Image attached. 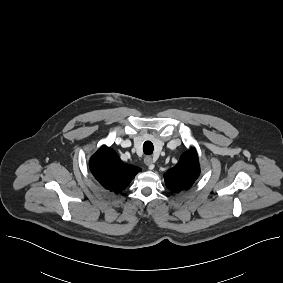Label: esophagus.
Listing matches in <instances>:
<instances>
[{
  "label": "esophagus",
  "instance_id": "34e87169",
  "mask_svg": "<svg viewBox=\"0 0 283 283\" xmlns=\"http://www.w3.org/2000/svg\"><path fill=\"white\" fill-rule=\"evenodd\" d=\"M144 163L149 167V169L154 168V160L151 156H146L144 158Z\"/></svg>",
  "mask_w": 283,
  "mask_h": 283
}]
</instances>
